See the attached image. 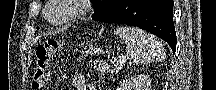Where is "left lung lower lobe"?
Here are the masks:
<instances>
[{
	"label": "left lung lower lobe",
	"instance_id": "1",
	"mask_svg": "<svg viewBox=\"0 0 216 90\" xmlns=\"http://www.w3.org/2000/svg\"><path fill=\"white\" fill-rule=\"evenodd\" d=\"M172 0H122L96 17L95 21L137 26L165 40L176 48Z\"/></svg>",
	"mask_w": 216,
	"mask_h": 90
}]
</instances>
